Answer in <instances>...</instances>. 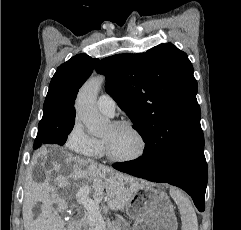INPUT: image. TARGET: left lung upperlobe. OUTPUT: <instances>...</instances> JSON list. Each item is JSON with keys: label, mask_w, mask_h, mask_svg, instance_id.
Listing matches in <instances>:
<instances>
[{"label": "left lung upper lobe", "mask_w": 241, "mask_h": 230, "mask_svg": "<svg viewBox=\"0 0 241 230\" xmlns=\"http://www.w3.org/2000/svg\"><path fill=\"white\" fill-rule=\"evenodd\" d=\"M97 71L146 144L160 140L175 156L204 147L197 81L185 52L160 44L146 53L104 58Z\"/></svg>", "instance_id": "5c2ea615"}]
</instances>
